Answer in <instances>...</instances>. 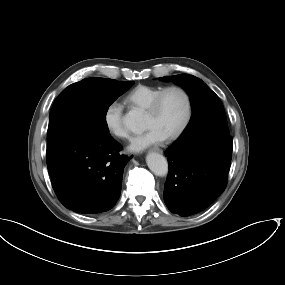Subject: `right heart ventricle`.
Returning <instances> with one entry per match:
<instances>
[{"instance_id":"right-heart-ventricle-1","label":"right heart ventricle","mask_w":285,"mask_h":285,"mask_svg":"<svg viewBox=\"0 0 285 285\" xmlns=\"http://www.w3.org/2000/svg\"><path fill=\"white\" fill-rule=\"evenodd\" d=\"M162 87L151 85H138L128 92L123 102L131 108L146 109Z\"/></svg>"}]
</instances>
